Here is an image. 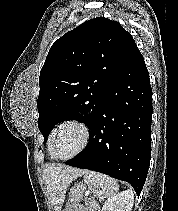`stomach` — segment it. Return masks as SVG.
Here are the masks:
<instances>
[{"mask_svg": "<svg viewBox=\"0 0 178 211\" xmlns=\"http://www.w3.org/2000/svg\"><path fill=\"white\" fill-rule=\"evenodd\" d=\"M86 191V186L84 184H75L69 193V202L67 204L66 211H73V207L78 204Z\"/></svg>", "mask_w": 178, "mask_h": 211, "instance_id": "obj_1", "label": "stomach"}]
</instances>
